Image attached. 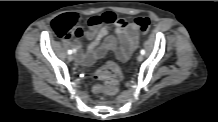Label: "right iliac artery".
I'll list each match as a JSON object with an SVG mask.
<instances>
[{
  "label": "right iliac artery",
  "instance_id": "1",
  "mask_svg": "<svg viewBox=\"0 0 218 122\" xmlns=\"http://www.w3.org/2000/svg\"><path fill=\"white\" fill-rule=\"evenodd\" d=\"M68 54H72V50L71 49L68 50Z\"/></svg>",
  "mask_w": 218,
  "mask_h": 122
}]
</instances>
